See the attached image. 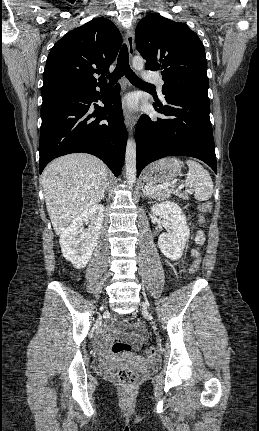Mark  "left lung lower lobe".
<instances>
[{"label": "left lung lower lobe", "mask_w": 259, "mask_h": 431, "mask_svg": "<svg viewBox=\"0 0 259 431\" xmlns=\"http://www.w3.org/2000/svg\"><path fill=\"white\" fill-rule=\"evenodd\" d=\"M155 110L169 118L142 115L137 123V176L149 163L166 156H189L202 160L217 174L215 144L207 96L192 92L164 94Z\"/></svg>", "instance_id": "1"}]
</instances>
